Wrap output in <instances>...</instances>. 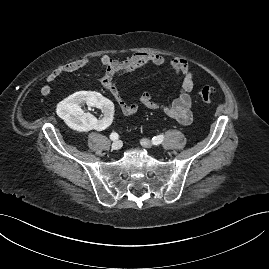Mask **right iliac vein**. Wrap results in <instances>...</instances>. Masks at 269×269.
I'll return each mask as SVG.
<instances>
[{"mask_svg": "<svg viewBox=\"0 0 269 269\" xmlns=\"http://www.w3.org/2000/svg\"><path fill=\"white\" fill-rule=\"evenodd\" d=\"M121 147H122V142L121 141H114L113 143H112V149H114V150H119V149H121Z\"/></svg>", "mask_w": 269, "mask_h": 269, "instance_id": "obj_1", "label": "right iliac vein"}]
</instances>
